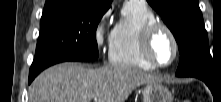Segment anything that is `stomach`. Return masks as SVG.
Here are the masks:
<instances>
[{
    "instance_id": "obj_1",
    "label": "stomach",
    "mask_w": 221,
    "mask_h": 102,
    "mask_svg": "<svg viewBox=\"0 0 221 102\" xmlns=\"http://www.w3.org/2000/svg\"><path fill=\"white\" fill-rule=\"evenodd\" d=\"M143 102H172L169 89L160 82L147 83L143 89Z\"/></svg>"
}]
</instances>
